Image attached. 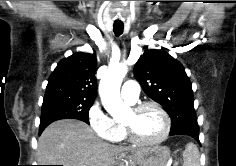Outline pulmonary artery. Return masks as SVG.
I'll use <instances>...</instances> for the list:
<instances>
[{
  "instance_id": "pulmonary-artery-1",
  "label": "pulmonary artery",
  "mask_w": 236,
  "mask_h": 166,
  "mask_svg": "<svg viewBox=\"0 0 236 166\" xmlns=\"http://www.w3.org/2000/svg\"><path fill=\"white\" fill-rule=\"evenodd\" d=\"M139 92V83L135 80H129L123 85L121 96L127 102L134 103L139 97Z\"/></svg>"
}]
</instances>
